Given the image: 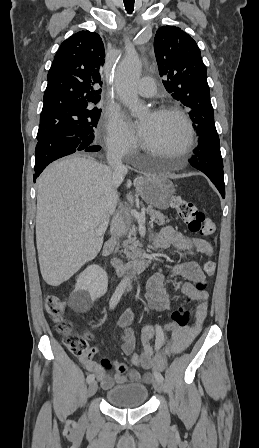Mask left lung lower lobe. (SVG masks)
<instances>
[{
	"mask_svg": "<svg viewBox=\"0 0 259 448\" xmlns=\"http://www.w3.org/2000/svg\"><path fill=\"white\" fill-rule=\"evenodd\" d=\"M190 164L205 173L225 198L223 160L218 133L200 136Z\"/></svg>",
	"mask_w": 259,
	"mask_h": 448,
	"instance_id": "obj_1",
	"label": "left lung lower lobe"
}]
</instances>
